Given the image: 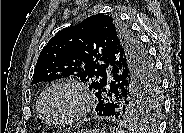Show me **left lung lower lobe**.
Masks as SVG:
<instances>
[{
	"label": "left lung lower lobe",
	"instance_id": "1",
	"mask_svg": "<svg viewBox=\"0 0 184 133\" xmlns=\"http://www.w3.org/2000/svg\"><path fill=\"white\" fill-rule=\"evenodd\" d=\"M113 66L112 75L114 81L106 84L95 96L98 98V104L95 111L98 115L112 116L117 118L119 111L118 102L124 96L127 88V78L125 72L117 65V62L110 63ZM146 90L151 91V86L144 82ZM143 121L141 123H144Z\"/></svg>",
	"mask_w": 184,
	"mask_h": 133
}]
</instances>
